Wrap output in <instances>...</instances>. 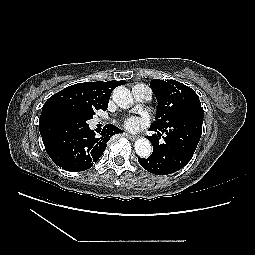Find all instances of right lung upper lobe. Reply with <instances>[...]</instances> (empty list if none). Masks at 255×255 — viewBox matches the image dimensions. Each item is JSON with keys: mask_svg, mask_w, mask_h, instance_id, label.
<instances>
[{"mask_svg": "<svg viewBox=\"0 0 255 255\" xmlns=\"http://www.w3.org/2000/svg\"><path fill=\"white\" fill-rule=\"evenodd\" d=\"M125 81L85 82L66 87L51 96L44 104L39 126L56 113L81 115L95 110H106L111 92Z\"/></svg>", "mask_w": 255, "mask_h": 255, "instance_id": "right-lung-upper-lobe-1", "label": "right lung upper lobe"}]
</instances>
